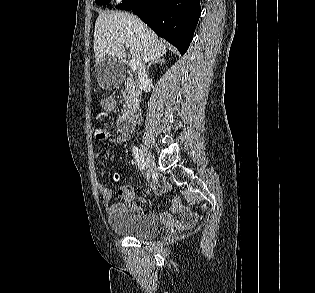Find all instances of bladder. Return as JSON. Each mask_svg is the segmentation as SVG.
I'll return each mask as SVG.
<instances>
[{"label": "bladder", "instance_id": "1", "mask_svg": "<svg viewBox=\"0 0 315 293\" xmlns=\"http://www.w3.org/2000/svg\"><path fill=\"white\" fill-rule=\"evenodd\" d=\"M108 223L115 233L137 239H150L161 231L159 222L153 217L130 211L112 212Z\"/></svg>", "mask_w": 315, "mask_h": 293}]
</instances>
